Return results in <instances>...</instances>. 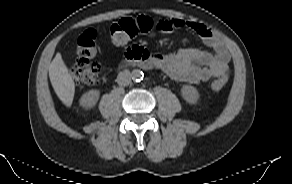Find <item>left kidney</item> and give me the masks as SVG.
<instances>
[{"mask_svg": "<svg viewBox=\"0 0 292 184\" xmlns=\"http://www.w3.org/2000/svg\"><path fill=\"white\" fill-rule=\"evenodd\" d=\"M181 95L189 104H196L199 99V93L197 89L191 85H184L181 88Z\"/></svg>", "mask_w": 292, "mask_h": 184, "instance_id": "5707ae66", "label": "left kidney"}]
</instances>
